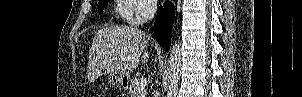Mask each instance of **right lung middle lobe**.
Here are the masks:
<instances>
[{
  "mask_svg": "<svg viewBox=\"0 0 302 97\" xmlns=\"http://www.w3.org/2000/svg\"><path fill=\"white\" fill-rule=\"evenodd\" d=\"M108 3V0H101L99 1V7H98V12L102 13L103 9L105 8L106 4Z\"/></svg>",
  "mask_w": 302,
  "mask_h": 97,
  "instance_id": "right-lung-middle-lobe-1",
  "label": "right lung middle lobe"
}]
</instances>
